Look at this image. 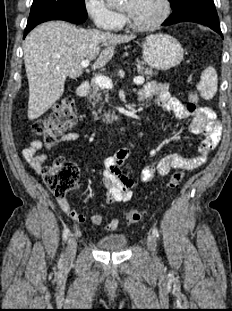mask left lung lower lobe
Instances as JSON below:
<instances>
[{"mask_svg":"<svg viewBox=\"0 0 232 311\" xmlns=\"http://www.w3.org/2000/svg\"><path fill=\"white\" fill-rule=\"evenodd\" d=\"M172 9L173 13L162 25L195 22L208 26L222 35L213 0H182Z\"/></svg>","mask_w":232,"mask_h":311,"instance_id":"0a47b994","label":"left lung lower lobe"}]
</instances>
